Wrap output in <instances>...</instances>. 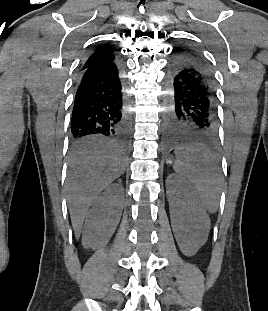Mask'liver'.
<instances>
[{
	"label": "liver",
	"instance_id": "1",
	"mask_svg": "<svg viewBox=\"0 0 268 311\" xmlns=\"http://www.w3.org/2000/svg\"><path fill=\"white\" fill-rule=\"evenodd\" d=\"M124 172L121 151L113 144L85 146L72 155L69 161L67 200L76 238L81 234L91 204Z\"/></svg>",
	"mask_w": 268,
	"mask_h": 311
}]
</instances>
